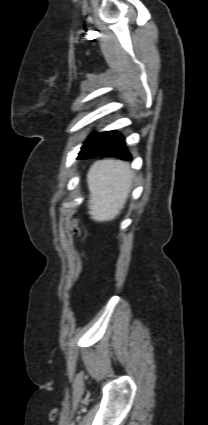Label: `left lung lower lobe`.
<instances>
[{
  "label": "left lung lower lobe",
  "instance_id": "0a47b994",
  "mask_svg": "<svg viewBox=\"0 0 208 425\" xmlns=\"http://www.w3.org/2000/svg\"><path fill=\"white\" fill-rule=\"evenodd\" d=\"M124 143V138L116 131L95 133L84 142L79 157L114 156L130 161L132 158Z\"/></svg>",
  "mask_w": 208,
  "mask_h": 425
}]
</instances>
